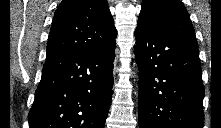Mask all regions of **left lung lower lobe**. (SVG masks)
<instances>
[{
    "label": "left lung lower lobe",
    "instance_id": "obj_1",
    "mask_svg": "<svg viewBox=\"0 0 221 128\" xmlns=\"http://www.w3.org/2000/svg\"><path fill=\"white\" fill-rule=\"evenodd\" d=\"M140 128H202V70L198 46L138 24Z\"/></svg>",
    "mask_w": 221,
    "mask_h": 128
}]
</instances>
